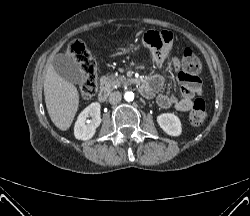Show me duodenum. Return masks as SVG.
Wrapping results in <instances>:
<instances>
[{"label": "duodenum", "mask_w": 250, "mask_h": 216, "mask_svg": "<svg viewBox=\"0 0 250 216\" xmlns=\"http://www.w3.org/2000/svg\"><path fill=\"white\" fill-rule=\"evenodd\" d=\"M139 90L144 96L150 95V89L146 82H140L139 83ZM110 93V89L106 84H102L99 90L98 98L101 102L106 101Z\"/></svg>", "instance_id": "410a0bca"}]
</instances>
